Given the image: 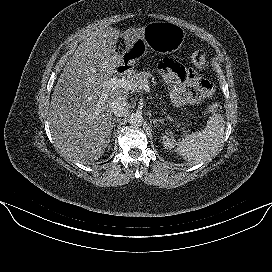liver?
<instances>
[{
    "instance_id": "obj_1",
    "label": "liver",
    "mask_w": 272,
    "mask_h": 272,
    "mask_svg": "<svg viewBox=\"0 0 272 272\" xmlns=\"http://www.w3.org/2000/svg\"><path fill=\"white\" fill-rule=\"evenodd\" d=\"M144 27L129 28L123 33L113 27L90 32L64 67L50 102L53 139L61 151L80 162L100 158L110 142L112 103L126 100L128 90L106 88L123 65V56L116 52L119 37L126 50L143 36ZM106 93V98L102 94Z\"/></svg>"
}]
</instances>
